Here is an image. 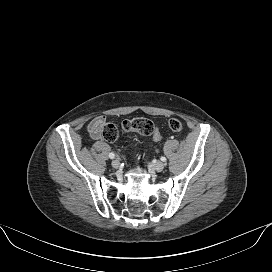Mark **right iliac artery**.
Wrapping results in <instances>:
<instances>
[{
	"instance_id": "obj_1",
	"label": "right iliac artery",
	"mask_w": 272,
	"mask_h": 272,
	"mask_svg": "<svg viewBox=\"0 0 272 272\" xmlns=\"http://www.w3.org/2000/svg\"><path fill=\"white\" fill-rule=\"evenodd\" d=\"M109 157L111 158V159H113V158H115V154L114 153H109Z\"/></svg>"
}]
</instances>
